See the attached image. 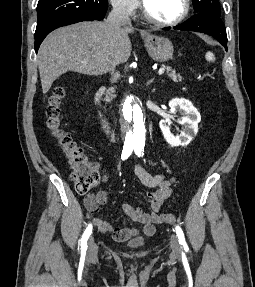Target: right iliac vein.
<instances>
[{
    "label": "right iliac vein",
    "mask_w": 255,
    "mask_h": 287,
    "mask_svg": "<svg viewBox=\"0 0 255 287\" xmlns=\"http://www.w3.org/2000/svg\"><path fill=\"white\" fill-rule=\"evenodd\" d=\"M98 247L94 242L93 238H90L88 243V251H87V259L88 260H94L97 256Z\"/></svg>",
    "instance_id": "obj_1"
}]
</instances>
